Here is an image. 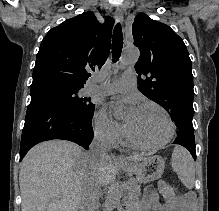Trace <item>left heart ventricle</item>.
Returning <instances> with one entry per match:
<instances>
[{
  "instance_id": "obj_1",
  "label": "left heart ventricle",
  "mask_w": 219,
  "mask_h": 211,
  "mask_svg": "<svg viewBox=\"0 0 219 211\" xmlns=\"http://www.w3.org/2000/svg\"><path fill=\"white\" fill-rule=\"evenodd\" d=\"M131 136L144 144H156L165 139L169 125L164 113L154 107L138 108L135 115L126 123Z\"/></svg>"
}]
</instances>
